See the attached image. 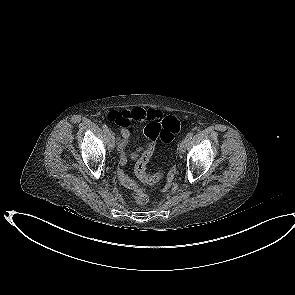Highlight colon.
I'll return each instance as SVG.
<instances>
[{
    "mask_svg": "<svg viewBox=\"0 0 295 295\" xmlns=\"http://www.w3.org/2000/svg\"><path fill=\"white\" fill-rule=\"evenodd\" d=\"M183 124L184 122L176 117L166 116L160 121L150 122L145 127L144 134L149 138V143L145 145L142 156L135 165V174L143 183L153 184L162 178V171L153 175L147 172L149 159L153 157V152L158 145V138L164 143L171 142ZM132 197L138 205H145L149 200L148 195L142 189L134 188Z\"/></svg>",
    "mask_w": 295,
    "mask_h": 295,
    "instance_id": "5ec220e1",
    "label": "colon"
}]
</instances>
